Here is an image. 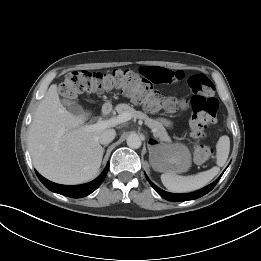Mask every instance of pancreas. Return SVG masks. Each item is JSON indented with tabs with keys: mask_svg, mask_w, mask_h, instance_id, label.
<instances>
[{
	"mask_svg": "<svg viewBox=\"0 0 261 261\" xmlns=\"http://www.w3.org/2000/svg\"><path fill=\"white\" fill-rule=\"evenodd\" d=\"M115 110L121 114L123 112H129L134 119H142L145 121V124L152 129L154 135L161 140L168 141L169 136L163 127V125L157 120L149 118L146 114L141 111H136L134 108L130 107L128 104H118L115 107Z\"/></svg>",
	"mask_w": 261,
	"mask_h": 261,
	"instance_id": "pancreas-1",
	"label": "pancreas"
}]
</instances>
